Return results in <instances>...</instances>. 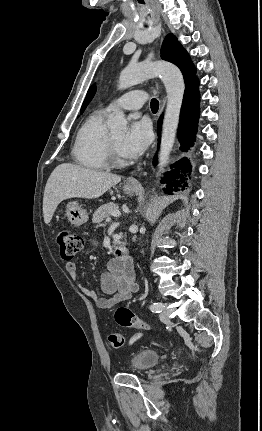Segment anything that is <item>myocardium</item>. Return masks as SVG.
Instances as JSON below:
<instances>
[{"instance_id":"f54148a6","label":"myocardium","mask_w":262,"mask_h":431,"mask_svg":"<svg viewBox=\"0 0 262 431\" xmlns=\"http://www.w3.org/2000/svg\"><path fill=\"white\" fill-rule=\"evenodd\" d=\"M108 155L114 166L124 165L125 161L120 156L117 145L112 141L111 137L108 139Z\"/></svg>"}]
</instances>
